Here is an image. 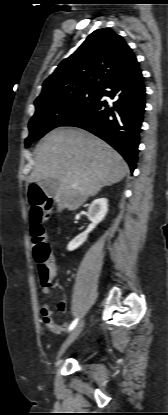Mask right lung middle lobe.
Wrapping results in <instances>:
<instances>
[{"label":"right lung middle lobe","mask_w":168,"mask_h":415,"mask_svg":"<svg viewBox=\"0 0 168 415\" xmlns=\"http://www.w3.org/2000/svg\"><path fill=\"white\" fill-rule=\"evenodd\" d=\"M102 89H83L45 101L36 106V112L29 122L30 134L25 140L28 148L50 130L92 106L101 97Z\"/></svg>","instance_id":"right-lung-middle-lobe-1"}]
</instances>
